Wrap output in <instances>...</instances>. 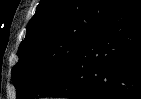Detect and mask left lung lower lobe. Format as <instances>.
<instances>
[{
  "mask_svg": "<svg viewBox=\"0 0 141 99\" xmlns=\"http://www.w3.org/2000/svg\"><path fill=\"white\" fill-rule=\"evenodd\" d=\"M141 99V0H120L39 97Z\"/></svg>",
  "mask_w": 141,
  "mask_h": 99,
  "instance_id": "1",
  "label": "left lung lower lobe"
}]
</instances>
